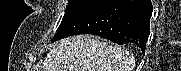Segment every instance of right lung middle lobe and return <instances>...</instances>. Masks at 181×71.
Returning <instances> with one entry per match:
<instances>
[{
	"label": "right lung middle lobe",
	"instance_id": "dd1d6c3e",
	"mask_svg": "<svg viewBox=\"0 0 181 71\" xmlns=\"http://www.w3.org/2000/svg\"><path fill=\"white\" fill-rule=\"evenodd\" d=\"M94 0H69L62 22L57 30L70 22L78 13L90 5Z\"/></svg>",
	"mask_w": 181,
	"mask_h": 71
}]
</instances>
